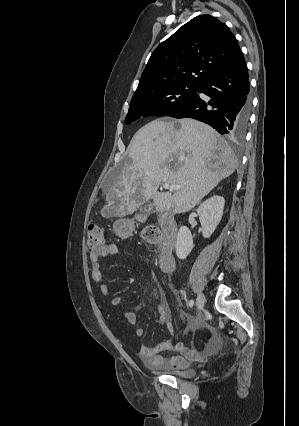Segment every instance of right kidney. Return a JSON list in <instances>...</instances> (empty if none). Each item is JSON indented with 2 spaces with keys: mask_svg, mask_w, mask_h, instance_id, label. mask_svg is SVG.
<instances>
[{
  "mask_svg": "<svg viewBox=\"0 0 299 426\" xmlns=\"http://www.w3.org/2000/svg\"><path fill=\"white\" fill-rule=\"evenodd\" d=\"M225 199L219 195H213L200 204L197 209L204 238H209L223 216ZM194 247L193 237L186 226H181L175 246L176 255L179 259H185Z\"/></svg>",
  "mask_w": 299,
  "mask_h": 426,
  "instance_id": "right-kidney-1",
  "label": "right kidney"
}]
</instances>
